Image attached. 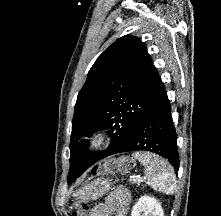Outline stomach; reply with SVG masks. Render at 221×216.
Wrapping results in <instances>:
<instances>
[{
  "label": "stomach",
  "mask_w": 221,
  "mask_h": 216,
  "mask_svg": "<svg viewBox=\"0 0 221 216\" xmlns=\"http://www.w3.org/2000/svg\"><path fill=\"white\" fill-rule=\"evenodd\" d=\"M112 183L109 179L97 178L86 183L81 189L74 193V198L78 202L96 200L105 195L111 189Z\"/></svg>",
  "instance_id": "stomach-1"
}]
</instances>
